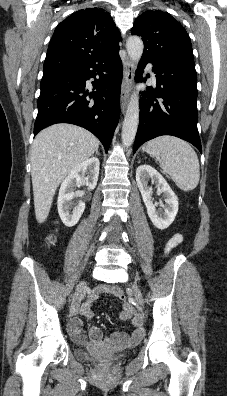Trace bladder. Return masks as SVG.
I'll return each mask as SVG.
<instances>
[{"label":"bladder","instance_id":"obj_1","mask_svg":"<svg viewBox=\"0 0 227 396\" xmlns=\"http://www.w3.org/2000/svg\"><path fill=\"white\" fill-rule=\"evenodd\" d=\"M75 356L81 361L92 362L95 364H112L122 358L121 355L95 356L82 349H76Z\"/></svg>","mask_w":227,"mask_h":396}]
</instances>
